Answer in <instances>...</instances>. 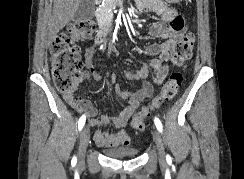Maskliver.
Returning a JSON list of instances; mask_svg holds the SVG:
<instances>
[{"instance_id":"obj_1","label":"liver","mask_w":244,"mask_h":179,"mask_svg":"<svg viewBox=\"0 0 244 179\" xmlns=\"http://www.w3.org/2000/svg\"><path fill=\"white\" fill-rule=\"evenodd\" d=\"M80 2L81 0H54L53 14L48 24L50 42H54L58 32L73 20Z\"/></svg>"}]
</instances>
